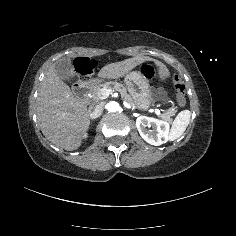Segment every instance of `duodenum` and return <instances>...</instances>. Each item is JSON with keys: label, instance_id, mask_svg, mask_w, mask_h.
Instances as JSON below:
<instances>
[{"label": "duodenum", "instance_id": "410a0bca", "mask_svg": "<svg viewBox=\"0 0 236 236\" xmlns=\"http://www.w3.org/2000/svg\"><path fill=\"white\" fill-rule=\"evenodd\" d=\"M98 82V79L90 73L81 75L79 82L75 86V94L78 98L84 100L89 90Z\"/></svg>", "mask_w": 236, "mask_h": 236}]
</instances>
